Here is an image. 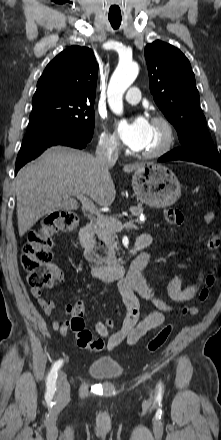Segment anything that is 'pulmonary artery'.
<instances>
[{
    "label": "pulmonary artery",
    "mask_w": 221,
    "mask_h": 440,
    "mask_svg": "<svg viewBox=\"0 0 221 440\" xmlns=\"http://www.w3.org/2000/svg\"><path fill=\"white\" fill-rule=\"evenodd\" d=\"M141 98L140 90L137 87H132L125 94V100L129 103H138Z\"/></svg>",
    "instance_id": "pulmonary-artery-1"
}]
</instances>
